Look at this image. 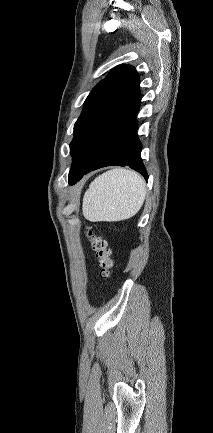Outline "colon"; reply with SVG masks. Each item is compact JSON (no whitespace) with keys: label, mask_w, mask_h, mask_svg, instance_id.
Here are the masks:
<instances>
[{"label":"colon","mask_w":213,"mask_h":433,"mask_svg":"<svg viewBox=\"0 0 213 433\" xmlns=\"http://www.w3.org/2000/svg\"><path fill=\"white\" fill-rule=\"evenodd\" d=\"M86 236L90 242L91 248L95 253L98 266L99 276L104 280H108L112 274L114 262L111 256V250L107 241L101 236L95 235L91 228L86 231Z\"/></svg>","instance_id":"obj_1"}]
</instances>
